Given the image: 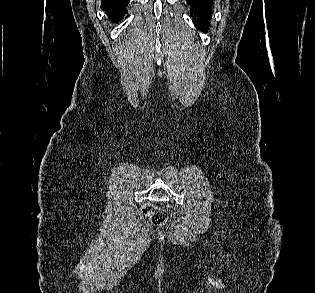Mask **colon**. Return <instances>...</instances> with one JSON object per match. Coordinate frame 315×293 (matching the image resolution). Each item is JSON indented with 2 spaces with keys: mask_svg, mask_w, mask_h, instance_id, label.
Segmentation results:
<instances>
[{
  "mask_svg": "<svg viewBox=\"0 0 315 293\" xmlns=\"http://www.w3.org/2000/svg\"><path fill=\"white\" fill-rule=\"evenodd\" d=\"M142 212L144 215L148 216L152 224L156 226H162L168 220V214L164 209L149 203H146L142 206Z\"/></svg>",
  "mask_w": 315,
  "mask_h": 293,
  "instance_id": "obj_1",
  "label": "colon"
}]
</instances>
